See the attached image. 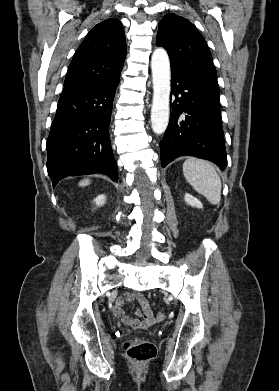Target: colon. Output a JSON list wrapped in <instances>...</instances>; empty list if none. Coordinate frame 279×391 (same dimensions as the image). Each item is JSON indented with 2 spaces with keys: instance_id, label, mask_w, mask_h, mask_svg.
Segmentation results:
<instances>
[{
  "instance_id": "colon-1",
  "label": "colon",
  "mask_w": 279,
  "mask_h": 391,
  "mask_svg": "<svg viewBox=\"0 0 279 391\" xmlns=\"http://www.w3.org/2000/svg\"><path fill=\"white\" fill-rule=\"evenodd\" d=\"M164 318L165 316L162 313L156 315V320L158 322L163 321ZM124 348L127 356L139 363L146 362L156 355L155 345L145 340L126 341Z\"/></svg>"
}]
</instances>
